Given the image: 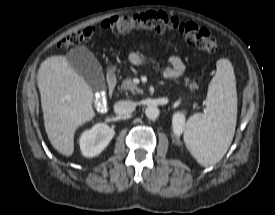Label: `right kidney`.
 Here are the masks:
<instances>
[{
	"label": "right kidney",
	"instance_id": "right-kidney-1",
	"mask_svg": "<svg viewBox=\"0 0 275 215\" xmlns=\"http://www.w3.org/2000/svg\"><path fill=\"white\" fill-rule=\"evenodd\" d=\"M115 132L105 123H98L82 133L79 144L85 157L99 155L109 144Z\"/></svg>",
	"mask_w": 275,
	"mask_h": 215
}]
</instances>
